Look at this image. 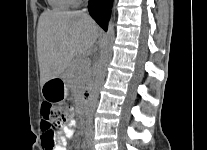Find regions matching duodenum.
<instances>
[{"instance_id":"1","label":"duodenum","mask_w":207,"mask_h":150,"mask_svg":"<svg viewBox=\"0 0 207 150\" xmlns=\"http://www.w3.org/2000/svg\"><path fill=\"white\" fill-rule=\"evenodd\" d=\"M91 97H92V88L88 87L82 96V104L84 105L85 109H88L90 106L91 102Z\"/></svg>"}]
</instances>
